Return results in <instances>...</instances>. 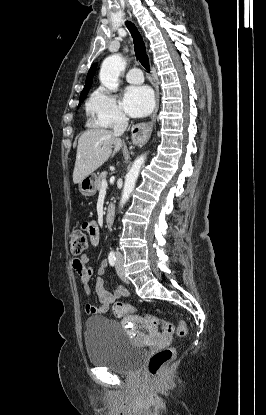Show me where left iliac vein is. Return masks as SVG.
<instances>
[{"label":"left iliac vein","instance_id":"obj_1","mask_svg":"<svg viewBox=\"0 0 266 415\" xmlns=\"http://www.w3.org/2000/svg\"><path fill=\"white\" fill-rule=\"evenodd\" d=\"M116 271L120 279L126 283L129 282L128 278L125 276L124 270H123V262L121 257H117L116 261Z\"/></svg>","mask_w":266,"mask_h":415}]
</instances>
